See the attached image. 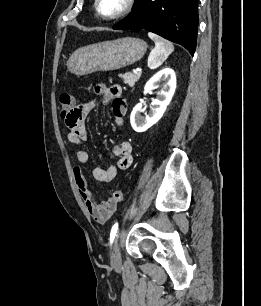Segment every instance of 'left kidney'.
Returning a JSON list of instances; mask_svg holds the SVG:
<instances>
[{
	"label": "left kidney",
	"mask_w": 261,
	"mask_h": 306,
	"mask_svg": "<svg viewBox=\"0 0 261 306\" xmlns=\"http://www.w3.org/2000/svg\"><path fill=\"white\" fill-rule=\"evenodd\" d=\"M156 85H160L162 90L157 99L153 100L151 111L146 117L141 116L142 103L137 104L131 113L130 123L136 132H145L156 124L163 116L176 89L175 72L170 68H165L155 74L145 85L144 93L151 92Z\"/></svg>",
	"instance_id": "obj_1"
}]
</instances>
